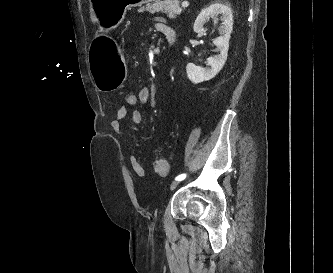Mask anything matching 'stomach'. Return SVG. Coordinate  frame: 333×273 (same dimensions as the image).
Returning a JSON list of instances; mask_svg holds the SVG:
<instances>
[{"instance_id":"1","label":"stomach","mask_w":333,"mask_h":273,"mask_svg":"<svg viewBox=\"0 0 333 273\" xmlns=\"http://www.w3.org/2000/svg\"><path fill=\"white\" fill-rule=\"evenodd\" d=\"M155 0H91L96 22L101 29L121 28L126 10ZM113 31H100L98 39L90 45L91 73L95 85L101 91H114L125 79L127 58L119 53Z\"/></svg>"}]
</instances>
